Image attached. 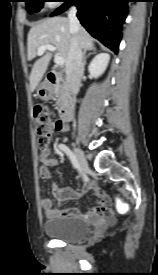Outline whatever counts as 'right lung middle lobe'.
I'll return each mask as SVG.
<instances>
[{
  "label": "right lung middle lobe",
  "mask_w": 158,
  "mask_h": 275,
  "mask_svg": "<svg viewBox=\"0 0 158 275\" xmlns=\"http://www.w3.org/2000/svg\"><path fill=\"white\" fill-rule=\"evenodd\" d=\"M27 3V11L31 14L34 12H38L42 7L44 2L47 0H25ZM64 1V0H60Z\"/></svg>",
  "instance_id": "right-lung-middle-lobe-1"
}]
</instances>
